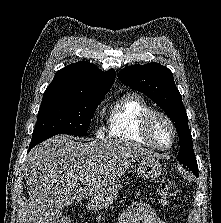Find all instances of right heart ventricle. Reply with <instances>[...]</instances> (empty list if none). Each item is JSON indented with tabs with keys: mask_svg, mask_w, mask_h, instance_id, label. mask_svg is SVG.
Instances as JSON below:
<instances>
[{
	"mask_svg": "<svg viewBox=\"0 0 221 223\" xmlns=\"http://www.w3.org/2000/svg\"><path fill=\"white\" fill-rule=\"evenodd\" d=\"M151 110V105L141 95H124L110 108L106 137L119 142L146 144L140 135V126L144 115Z\"/></svg>",
	"mask_w": 221,
	"mask_h": 223,
	"instance_id": "obj_1",
	"label": "right heart ventricle"
}]
</instances>
